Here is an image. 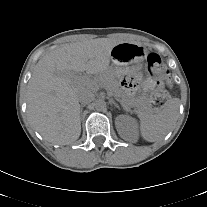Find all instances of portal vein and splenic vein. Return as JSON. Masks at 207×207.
Here are the masks:
<instances>
[{
    "mask_svg": "<svg viewBox=\"0 0 207 207\" xmlns=\"http://www.w3.org/2000/svg\"><path fill=\"white\" fill-rule=\"evenodd\" d=\"M84 77H81V76H78V77H75V81H81ZM95 85V89L98 88V86H96V83H94Z\"/></svg>",
    "mask_w": 207,
    "mask_h": 207,
    "instance_id": "portal-vein-and-splenic-vein-1",
    "label": "portal vein and splenic vein"
}]
</instances>
